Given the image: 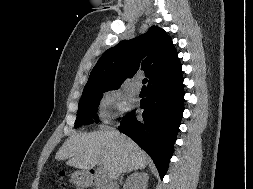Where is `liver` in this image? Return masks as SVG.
Wrapping results in <instances>:
<instances>
[{
    "label": "liver",
    "instance_id": "1",
    "mask_svg": "<svg viewBox=\"0 0 253 189\" xmlns=\"http://www.w3.org/2000/svg\"><path fill=\"white\" fill-rule=\"evenodd\" d=\"M57 160L69 159L68 165L89 170L101 164L109 179L128 170L144 169L149 156L129 137L113 129L70 136L56 153Z\"/></svg>",
    "mask_w": 253,
    "mask_h": 189
}]
</instances>
